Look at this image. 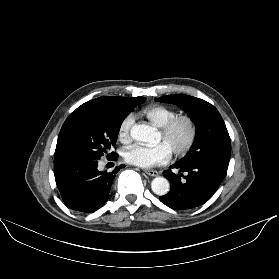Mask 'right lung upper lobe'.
I'll use <instances>...</instances> for the list:
<instances>
[{
  "label": "right lung upper lobe",
  "mask_w": 279,
  "mask_h": 279,
  "mask_svg": "<svg viewBox=\"0 0 279 279\" xmlns=\"http://www.w3.org/2000/svg\"><path fill=\"white\" fill-rule=\"evenodd\" d=\"M138 97L136 98H125V97H112V96H102L91 101H88L81 106H79L68 118L74 116L75 114L84 111L89 108L105 106V105H112V104H125V103H134L137 101ZM67 118V119H68ZM56 163V162H54Z\"/></svg>",
  "instance_id": "right-lung-upper-lobe-1"
}]
</instances>
